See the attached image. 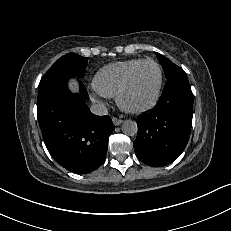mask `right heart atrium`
<instances>
[{
	"instance_id": "d8ad5b80",
	"label": "right heart atrium",
	"mask_w": 231,
	"mask_h": 231,
	"mask_svg": "<svg viewBox=\"0 0 231 231\" xmlns=\"http://www.w3.org/2000/svg\"><path fill=\"white\" fill-rule=\"evenodd\" d=\"M92 97L95 101L99 103L103 102V98H105V96L100 94L96 89H94V91L92 92Z\"/></svg>"
}]
</instances>
